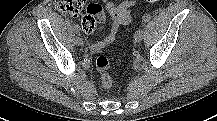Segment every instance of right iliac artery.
<instances>
[{"label":"right iliac artery","instance_id":"obj_1","mask_svg":"<svg viewBox=\"0 0 217 121\" xmlns=\"http://www.w3.org/2000/svg\"><path fill=\"white\" fill-rule=\"evenodd\" d=\"M73 30H74V32H75L76 34H79V35H80L81 29H80V27H79L78 25H75V26L73 27Z\"/></svg>","mask_w":217,"mask_h":121}]
</instances>
